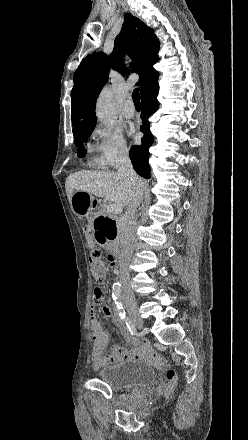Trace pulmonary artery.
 I'll use <instances>...</instances> for the list:
<instances>
[{"instance_id":"1","label":"pulmonary artery","mask_w":248,"mask_h":440,"mask_svg":"<svg viewBox=\"0 0 248 440\" xmlns=\"http://www.w3.org/2000/svg\"><path fill=\"white\" fill-rule=\"evenodd\" d=\"M122 113L125 118L131 119L134 117L135 108L131 100L125 102Z\"/></svg>"}]
</instances>
